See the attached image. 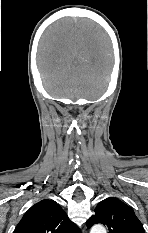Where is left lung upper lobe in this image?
Instances as JSON below:
<instances>
[{"label": "left lung upper lobe", "mask_w": 148, "mask_h": 233, "mask_svg": "<svg viewBox=\"0 0 148 233\" xmlns=\"http://www.w3.org/2000/svg\"><path fill=\"white\" fill-rule=\"evenodd\" d=\"M98 223L105 225L109 233H145L133 209L118 198H107L96 206L95 215L86 225L90 228Z\"/></svg>", "instance_id": "left-lung-upper-lobe-1"}]
</instances>
